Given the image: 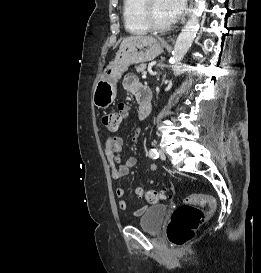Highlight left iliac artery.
I'll return each mask as SVG.
<instances>
[{
    "label": "left iliac artery",
    "instance_id": "obj_1",
    "mask_svg": "<svg viewBox=\"0 0 261 273\" xmlns=\"http://www.w3.org/2000/svg\"><path fill=\"white\" fill-rule=\"evenodd\" d=\"M149 156L153 159H157L159 157V154L156 149L152 148L149 151Z\"/></svg>",
    "mask_w": 261,
    "mask_h": 273
}]
</instances>
